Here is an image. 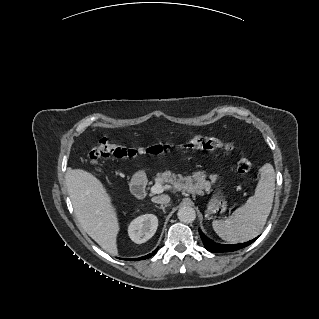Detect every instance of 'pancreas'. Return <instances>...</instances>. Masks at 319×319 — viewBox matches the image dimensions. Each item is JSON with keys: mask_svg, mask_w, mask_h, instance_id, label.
Instances as JSON below:
<instances>
[{"mask_svg": "<svg viewBox=\"0 0 319 319\" xmlns=\"http://www.w3.org/2000/svg\"><path fill=\"white\" fill-rule=\"evenodd\" d=\"M212 181L215 180V176L211 177ZM156 182H167L173 185L176 189H184L191 193H196L202 189H210L211 183L206 180V174L204 172H196L193 174V179L191 176L182 177L171 173L170 171H165L163 173H158L155 177Z\"/></svg>", "mask_w": 319, "mask_h": 319, "instance_id": "pancreas-1", "label": "pancreas"}]
</instances>
